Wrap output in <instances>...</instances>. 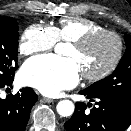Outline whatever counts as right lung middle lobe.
<instances>
[{"label":"right lung middle lobe","mask_w":131,"mask_h":131,"mask_svg":"<svg viewBox=\"0 0 131 131\" xmlns=\"http://www.w3.org/2000/svg\"><path fill=\"white\" fill-rule=\"evenodd\" d=\"M18 23L12 17H0V83L11 80L18 68Z\"/></svg>","instance_id":"right-lung-middle-lobe-1"}]
</instances>
